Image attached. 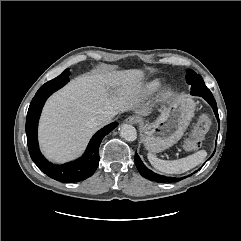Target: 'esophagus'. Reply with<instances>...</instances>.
<instances>
[{
  "label": "esophagus",
  "instance_id": "esophagus-1",
  "mask_svg": "<svg viewBox=\"0 0 241 241\" xmlns=\"http://www.w3.org/2000/svg\"><path fill=\"white\" fill-rule=\"evenodd\" d=\"M125 121L129 124H136L138 122V119L134 116H129L128 118H126Z\"/></svg>",
  "mask_w": 241,
  "mask_h": 241
}]
</instances>
